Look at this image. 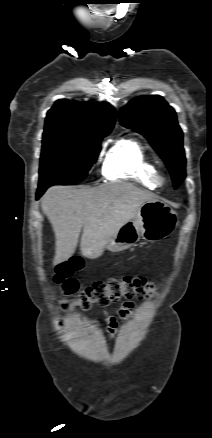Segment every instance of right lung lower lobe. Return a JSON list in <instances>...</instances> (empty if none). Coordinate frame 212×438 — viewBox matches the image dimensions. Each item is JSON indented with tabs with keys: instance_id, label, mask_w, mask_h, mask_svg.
Listing matches in <instances>:
<instances>
[{
	"instance_id": "98d812e1",
	"label": "right lung lower lobe",
	"mask_w": 212,
	"mask_h": 438,
	"mask_svg": "<svg viewBox=\"0 0 212 438\" xmlns=\"http://www.w3.org/2000/svg\"><path fill=\"white\" fill-rule=\"evenodd\" d=\"M48 187H49V186H39V188H38V190H37V194H36L37 199H38L39 197H41V195L46 191V189H47Z\"/></svg>"
}]
</instances>
